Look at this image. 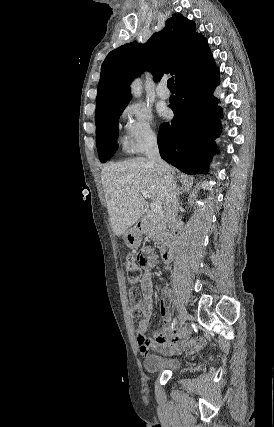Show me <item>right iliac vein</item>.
<instances>
[{"label": "right iliac vein", "instance_id": "obj_1", "mask_svg": "<svg viewBox=\"0 0 274 427\" xmlns=\"http://www.w3.org/2000/svg\"><path fill=\"white\" fill-rule=\"evenodd\" d=\"M187 318H188V315H187L185 309L181 308V310H180V317H179V319H180V328L183 327V325L185 324V321H186Z\"/></svg>", "mask_w": 274, "mask_h": 427}]
</instances>
